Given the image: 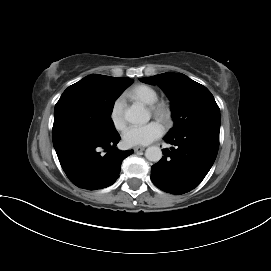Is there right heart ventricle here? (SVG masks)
<instances>
[{
	"mask_svg": "<svg viewBox=\"0 0 271 271\" xmlns=\"http://www.w3.org/2000/svg\"><path fill=\"white\" fill-rule=\"evenodd\" d=\"M128 95L149 106L155 104L159 98L157 91L153 87L145 84L133 87L128 92Z\"/></svg>",
	"mask_w": 271,
	"mask_h": 271,
	"instance_id": "right-heart-ventricle-1",
	"label": "right heart ventricle"
}]
</instances>
